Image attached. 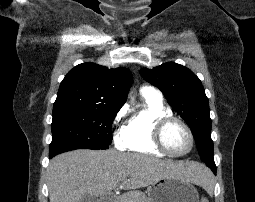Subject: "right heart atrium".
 Wrapping results in <instances>:
<instances>
[{
    "label": "right heart atrium",
    "instance_id": "right-heart-atrium-1",
    "mask_svg": "<svg viewBox=\"0 0 255 202\" xmlns=\"http://www.w3.org/2000/svg\"><path fill=\"white\" fill-rule=\"evenodd\" d=\"M126 110H127V109H126L125 106H123L122 108H120V109L118 110V112H117L116 115L114 116V119H113V122H112L113 126H116V125H118V124L121 122V120L123 119V117H124L125 114H126ZM114 140H115V144H116L118 147H123V139H122L121 132H120V134H118L117 136H115Z\"/></svg>",
    "mask_w": 255,
    "mask_h": 202
}]
</instances>
